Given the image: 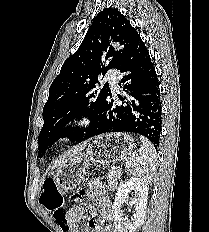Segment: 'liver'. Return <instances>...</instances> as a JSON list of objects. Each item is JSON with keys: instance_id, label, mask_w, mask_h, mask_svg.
I'll use <instances>...</instances> for the list:
<instances>
[{"instance_id": "6515ba94", "label": "liver", "mask_w": 209, "mask_h": 232, "mask_svg": "<svg viewBox=\"0 0 209 232\" xmlns=\"http://www.w3.org/2000/svg\"><path fill=\"white\" fill-rule=\"evenodd\" d=\"M86 145L87 144L84 143L80 146L75 147L68 153H66L62 158H60L58 161L55 162V164L52 166V169L65 164L68 160L79 154V152L82 151L86 147Z\"/></svg>"}]
</instances>
